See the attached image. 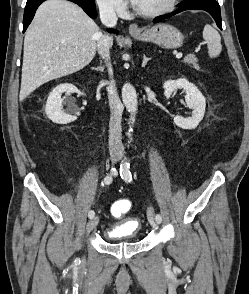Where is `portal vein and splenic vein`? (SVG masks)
<instances>
[{
  "label": "portal vein and splenic vein",
  "mask_w": 249,
  "mask_h": 294,
  "mask_svg": "<svg viewBox=\"0 0 249 294\" xmlns=\"http://www.w3.org/2000/svg\"><path fill=\"white\" fill-rule=\"evenodd\" d=\"M182 56H183V54H182V53H178V54H176V58H177V59H180V58H182Z\"/></svg>",
  "instance_id": "portal-vein-and-splenic-vein-1"
}]
</instances>
